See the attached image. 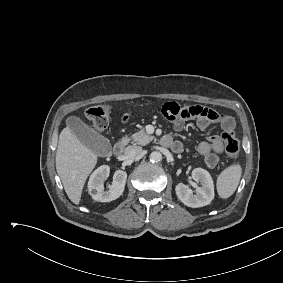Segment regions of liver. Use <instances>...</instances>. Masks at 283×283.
<instances>
[{
  "mask_svg": "<svg viewBox=\"0 0 283 283\" xmlns=\"http://www.w3.org/2000/svg\"><path fill=\"white\" fill-rule=\"evenodd\" d=\"M97 154L80 142L69 126L59 135L56 170L65 192L76 205L80 203L84 184L97 163Z\"/></svg>",
  "mask_w": 283,
  "mask_h": 283,
  "instance_id": "6515ba94",
  "label": "liver"
}]
</instances>
